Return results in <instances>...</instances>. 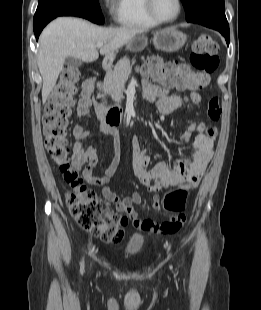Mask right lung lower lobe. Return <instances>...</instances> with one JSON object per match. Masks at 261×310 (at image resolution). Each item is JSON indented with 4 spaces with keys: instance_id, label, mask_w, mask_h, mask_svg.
<instances>
[{
    "instance_id": "right-lung-lower-lobe-1",
    "label": "right lung lower lobe",
    "mask_w": 261,
    "mask_h": 310,
    "mask_svg": "<svg viewBox=\"0 0 261 310\" xmlns=\"http://www.w3.org/2000/svg\"><path fill=\"white\" fill-rule=\"evenodd\" d=\"M54 18H56V17H50V18L44 19V20L40 21L38 24L33 25L34 33H35L37 40H38V37H39L41 31L46 26V24H48Z\"/></svg>"
}]
</instances>
